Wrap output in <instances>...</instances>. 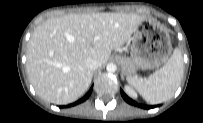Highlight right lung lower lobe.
<instances>
[{
	"instance_id": "98d812e1",
	"label": "right lung lower lobe",
	"mask_w": 203,
	"mask_h": 123,
	"mask_svg": "<svg viewBox=\"0 0 203 123\" xmlns=\"http://www.w3.org/2000/svg\"><path fill=\"white\" fill-rule=\"evenodd\" d=\"M91 92H92V88L87 92V94L82 99H80L79 101H77L73 104H70L69 106H74V105H77L81 102H84L90 96Z\"/></svg>"
}]
</instances>
